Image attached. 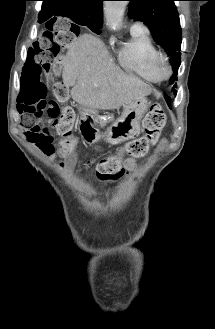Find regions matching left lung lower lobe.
I'll return each mask as SVG.
<instances>
[{
    "label": "left lung lower lobe",
    "mask_w": 215,
    "mask_h": 329,
    "mask_svg": "<svg viewBox=\"0 0 215 329\" xmlns=\"http://www.w3.org/2000/svg\"><path fill=\"white\" fill-rule=\"evenodd\" d=\"M165 99H166V102L168 104V106L170 107V98L167 96V95H164Z\"/></svg>",
    "instance_id": "obj_1"
}]
</instances>
